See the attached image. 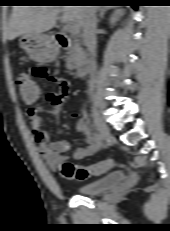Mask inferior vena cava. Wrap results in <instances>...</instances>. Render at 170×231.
I'll return each instance as SVG.
<instances>
[{"label":"inferior vena cava","mask_w":170,"mask_h":231,"mask_svg":"<svg viewBox=\"0 0 170 231\" xmlns=\"http://www.w3.org/2000/svg\"><path fill=\"white\" fill-rule=\"evenodd\" d=\"M96 6H83L82 7V27L83 39L90 53L91 59V73L89 80V89L93 91L96 82Z\"/></svg>","instance_id":"obj_1"}]
</instances>
